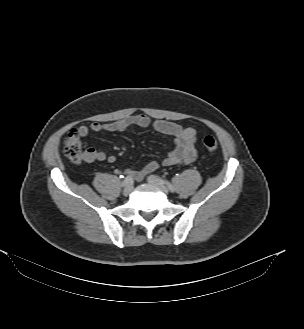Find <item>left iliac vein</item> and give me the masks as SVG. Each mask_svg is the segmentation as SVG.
Returning a JSON list of instances; mask_svg holds the SVG:
<instances>
[{
	"instance_id": "obj_1",
	"label": "left iliac vein",
	"mask_w": 304,
	"mask_h": 329,
	"mask_svg": "<svg viewBox=\"0 0 304 329\" xmlns=\"http://www.w3.org/2000/svg\"><path fill=\"white\" fill-rule=\"evenodd\" d=\"M147 181H148V183L160 188L165 194H168V192H169L168 188L164 185L163 181L160 180L158 177H156L154 175H150L147 177Z\"/></svg>"
}]
</instances>
